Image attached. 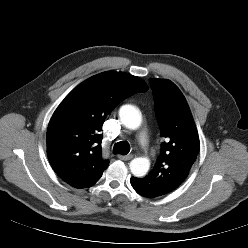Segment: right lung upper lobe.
Here are the masks:
<instances>
[{"label": "right lung upper lobe", "mask_w": 248, "mask_h": 248, "mask_svg": "<svg viewBox=\"0 0 248 248\" xmlns=\"http://www.w3.org/2000/svg\"><path fill=\"white\" fill-rule=\"evenodd\" d=\"M148 90L124 72L106 71L76 87L57 107L47 130V151L56 174L75 188L95 184L108 167L102 158V125L124 99Z\"/></svg>", "instance_id": "cb5924a9"}]
</instances>
